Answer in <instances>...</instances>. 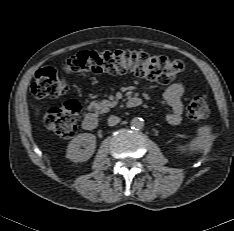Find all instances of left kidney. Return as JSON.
I'll use <instances>...</instances> for the list:
<instances>
[{"mask_svg": "<svg viewBox=\"0 0 234 231\" xmlns=\"http://www.w3.org/2000/svg\"><path fill=\"white\" fill-rule=\"evenodd\" d=\"M214 139L215 135L212 134V127L207 125L202 126L197 129V137L190 142L188 147L179 146L178 149L180 151H186L189 149L190 151L208 153L213 145Z\"/></svg>", "mask_w": 234, "mask_h": 231, "instance_id": "1", "label": "left kidney"}]
</instances>
